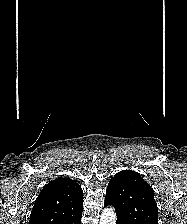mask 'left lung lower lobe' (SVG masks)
<instances>
[{
    "mask_svg": "<svg viewBox=\"0 0 187 224\" xmlns=\"http://www.w3.org/2000/svg\"><path fill=\"white\" fill-rule=\"evenodd\" d=\"M110 205L106 200L104 202V207ZM116 224H125V222L123 221V219L119 216H117V221H116Z\"/></svg>",
    "mask_w": 187,
    "mask_h": 224,
    "instance_id": "0a47b994",
    "label": "left lung lower lobe"
}]
</instances>
